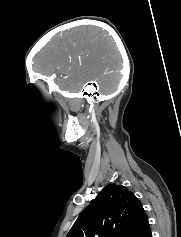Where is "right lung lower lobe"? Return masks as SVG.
I'll return each mask as SVG.
<instances>
[{
  "instance_id": "obj_1",
  "label": "right lung lower lobe",
  "mask_w": 181,
  "mask_h": 237,
  "mask_svg": "<svg viewBox=\"0 0 181 237\" xmlns=\"http://www.w3.org/2000/svg\"><path fill=\"white\" fill-rule=\"evenodd\" d=\"M147 237H152V233L150 232V233L147 235Z\"/></svg>"
}]
</instances>
